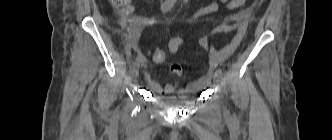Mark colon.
<instances>
[{
    "instance_id": "1",
    "label": "colon",
    "mask_w": 332,
    "mask_h": 140,
    "mask_svg": "<svg viewBox=\"0 0 332 140\" xmlns=\"http://www.w3.org/2000/svg\"><path fill=\"white\" fill-rule=\"evenodd\" d=\"M265 0H254V5L261 4ZM112 5L121 11L123 14L128 15L132 12V1L131 0H110ZM153 58L156 62H163L165 60V52L162 49L154 51Z\"/></svg>"
}]
</instances>
